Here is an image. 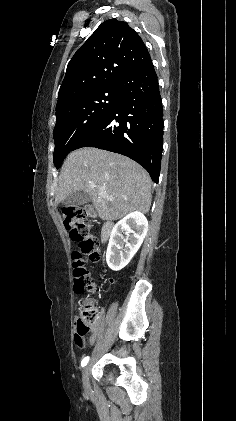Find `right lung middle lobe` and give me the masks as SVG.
Returning <instances> with one entry per match:
<instances>
[{
	"label": "right lung middle lobe",
	"mask_w": 236,
	"mask_h": 421,
	"mask_svg": "<svg viewBox=\"0 0 236 421\" xmlns=\"http://www.w3.org/2000/svg\"><path fill=\"white\" fill-rule=\"evenodd\" d=\"M119 99L117 87L76 96L56 108L53 160L58 169L67 154L112 111Z\"/></svg>",
	"instance_id": "right-lung-middle-lobe-1"
}]
</instances>
